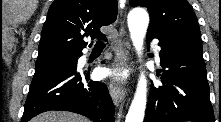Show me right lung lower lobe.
Wrapping results in <instances>:
<instances>
[{
	"label": "right lung lower lobe",
	"instance_id": "obj_1",
	"mask_svg": "<svg viewBox=\"0 0 221 122\" xmlns=\"http://www.w3.org/2000/svg\"><path fill=\"white\" fill-rule=\"evenodd\" d=\"M89 74L79 73L76 67L33 77L21 122L48 110L79 113L94 122H114L107 86L89 80Z\"/></svg>",
	"mask_w": 221,
	"mask_h": 122
}]
</instances>
